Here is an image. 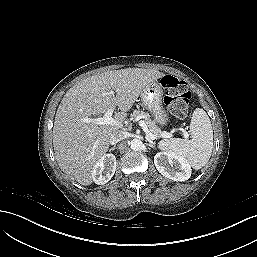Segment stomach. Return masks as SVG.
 Masks as SVG:
<instances>
[{
	"label": "stomach",
	"mask_w": 257,
	"mask_h": 257,
	"mask_svg": "<svg viewBox=\"0 0 257 257\" xmlns=\"http://www.w3.org/2000/svg\"><path fill=\"white\" fill-rule=\"evenodd\" d=\"M140 99L144 108L152 113L155 122L163 126L168 122V115L163 107V90L158 82L149 83L141 92Z\"/></svg>",
	"instance_id": "obj_1"
}]
</instances>
